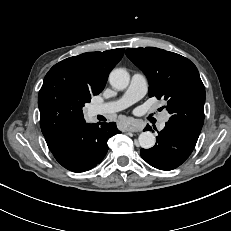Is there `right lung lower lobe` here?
I'll use <instances>...</instances> for the list:
<instances>
[{
    "label": "right lung lower lobe",
    "mask_w": 231,
    "mask_h": 231,
    "mask_svg": "<svg viewBox=\"0 0 231 231\" xmlns=\"http://www.w3.org/2000/svg\"><path fill=\"white\" fill-rule=\"evenodd\" d=\"M120 133L116 123H84L67 131L49 146L55 159L72 172H84L99 164L108 151V139Z\"/></svg>",
    "instance_id": "98d812e1"
}]
</instances>
